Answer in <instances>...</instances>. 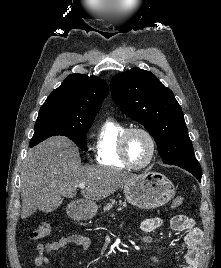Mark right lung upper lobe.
<instances>
[{
    "label": "right lung upper lobe",
    "instance_id": "obj_1",
    "mask_svg": "<svg viewBox=\"0 0 221 268\" xmlns=\"http://www.w3.org/2000/svg\"><path fill=\"white\" fill-rule=\"evenodd\" d=\"M109 87L96 76L71 74L48 96L40 112H64L81 118L94 119Z\"/></svg>",
    "mask_w": 221,
    "mask_h": 268
}]
</instances>
